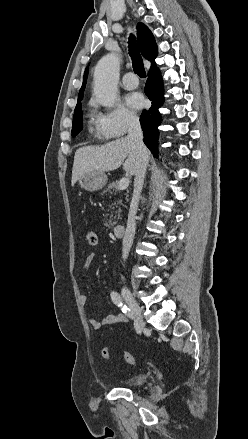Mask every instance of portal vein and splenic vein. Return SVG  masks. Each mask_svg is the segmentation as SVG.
<instances>
[{"label": "portal vein and splenic vein", "instance_id": "18ae733b", "mask_svg": "<svg viewBox=\"0 0 248 439\" xmlns=\"http://www.w3.org/2000/svg\"><path fill=\"white\" fill-rule=\"evenodd\" d=\"M129 178L128 177H123L120 179L119 184H118V189L119 190H125L128 188L129 186Z\"/></svg>", "mask_w": 248, "mask_h": 439}]
</instances>
